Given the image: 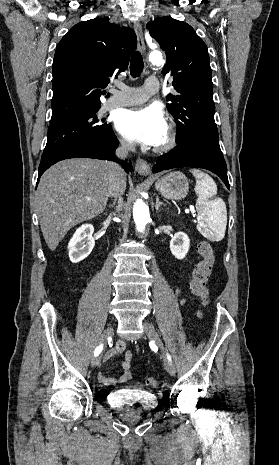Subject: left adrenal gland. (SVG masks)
<instances>
[{
  "instance_id": "obj_1",
  "label": "left adrenal gland",
  "mask_w": 279,
  "mask_h": 465,
  "mask_svg": "<svg viewBox=\"0 0 279 465\" xmlns=\"http://www.w3.org/2000/svg\"><path fill=\"white\" fill-rule=\"evenodd\" d=\"M164 206V203L160 202L159 197H156V204H155V209L156 211L159 210L160 207Z\"/></svg>"
}]
</instances>
